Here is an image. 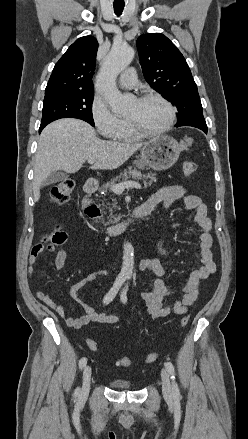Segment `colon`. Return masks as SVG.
<instances>
[{
    "label": "colon",
    "mask_w": 248,
    "mask_h": 439,
    "mask_svg": "<svg viewBox=\"0 0 248 439\" xmlns=\"http://www.w3.org/2000/svg\"><path fill=\"white\" fill-rule=\"evenodd\" d=\"M182 171L186 178H191L195 175L197 171V164L191 160H187L183 162ZM74 182L72 180H63L59 182L56 186H54L51 190V201L62 205L66 203L73 192ZM66 240V233L60 228L56 227V229L46 238L41 246H45L47 248H51L53 246H57L62 244ZM189 322V316L186 315L181 319L180 325L185 327ZM89 348L92 351L98 350V344L94 340H88L87 342ZM158 358V353L153 352L146 356V363H153ZM117 365L123 367H129L132 365V360L127 357H119L116 360Z\"/></svg>",
    "instance_id": "5ec220e1"
}]
</instances>
